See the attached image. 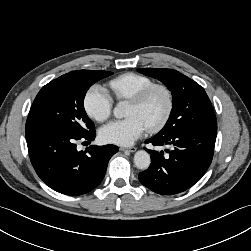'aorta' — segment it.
Masks as SVG:
<instances>
[{
	"label": "aorta",
	"mask_w": 251,
	"mask_h": 251,
	"mask_svg": "<svg viewBox=\"0 0 251 251\" xmlns=\"http://www.w3.org/2000/svg\"><path fill=\"white\" fill-rule=\"evenodd\" d=\"M116 118H123L128 115V103L120 101L113 110ZM151 163L150 155L145 150H139L134 155V164L140 170H146Z\"/></svg>",
	"instance_id": "762f6f07"
}]
</instances>
